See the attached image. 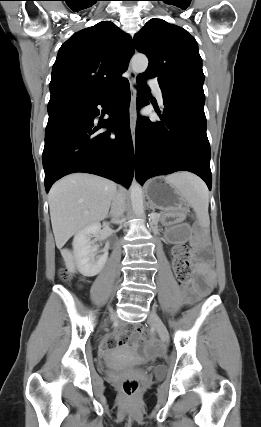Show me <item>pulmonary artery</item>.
Returning a JSON list of instances; mask_svg holds the SVG:
<instances>
[{"label": "pulmonary artery", "mask_w": 261, "mask_h": 427, "mask_svg": "<svg viewBox=\"0 0 261 427\" xmlns=\"http://www.w3.org/2000/svg\"><path fill=\"white\" fill-rule=\"evenodd\" d=\"M148 84L154 90L157 101L159 102L160 105H162L163 104V94H162V91H161V88H160L158 82L155 80H150L148 82Z\"/></svg>", "instance_id": "1"}]
</instances>
